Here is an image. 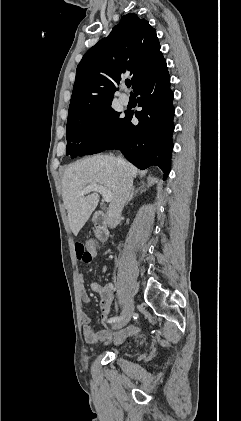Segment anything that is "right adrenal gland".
<instances>
[{
  "label": "right adrenal gland",
  "mask_w": 241,
  "mask_h": 421,
  "mask_svg": "<svg viewBox=\"0 0 241 421\" xmlns=\"http://www.w3.org/2000/svg\"><path fill=\"white\" fill-rule=\"evenodd\" d=\"M143 188H144V185L140 186L139 188H135V186H133L125 205H127L134 198V196H136L138 194L139 191H140V194H141L144 191Z\"/></svg>",
  "instance_id": "right-adrenal-gland-1"
}]
</instances>
